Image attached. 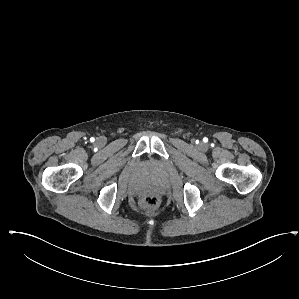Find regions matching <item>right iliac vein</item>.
<instances>
[{
    "instance_id": "obj_1",
    "label": "right iliac vein",
    "mask_w": 299,
    "mask_h": 299,
    "mask_svg": "<svg viewBox=\"0 0 299 299\" xmlns=\"http://www.w3.org/2000/svg\"><path fill=\"white\" fill-rule=\"evenodd\" d=\"M98 143H99V144H102V143H103V139H99V140H98Z\"/></svg>"
}]
</instances>
